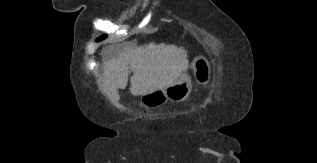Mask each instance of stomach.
<instances>
[{
    "mask_svg": "<svg viewBox=\"0 0 317 163\" xmlns=\"http://www.w3.org/2000/svg\"><path fill=\"white\" fill-rule=\"evenodd\" d=\"M194 76L198 83L209 84L211 80V66L208 60L199 56L192 62ZM192 91V81L187 74H183L175 83L161 90L141 95L140 101L143 106L148 108L158 107L165 104L168 100L180 102L188 98Z\"/></svg>",
    "mask_w": 317,
    "mask_h": 163,
    "instance_id": "obj_1",
    "label": "stomach"
}]
</instances>
